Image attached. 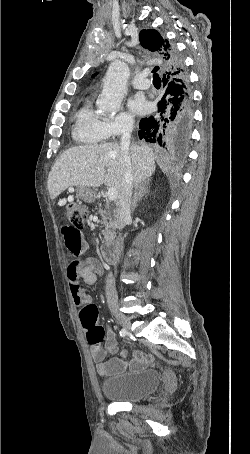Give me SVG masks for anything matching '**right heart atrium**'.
<instances>
[{"label":"right heart atrium","instance_id":"right-heart-atrium-1","mask_svg":"<svg viewBox=\"0 0 250 454\" xmlns=\"http://www.w3.org/2000/svg\"><path fill=\"white\" fill-rule=\"evenodd\" d=\"M134 125V119L126 113L104 122V128L108 137H118L130 131Z\"/></svg>","mask_w":250,"mask_h":454}]
</instances>
